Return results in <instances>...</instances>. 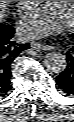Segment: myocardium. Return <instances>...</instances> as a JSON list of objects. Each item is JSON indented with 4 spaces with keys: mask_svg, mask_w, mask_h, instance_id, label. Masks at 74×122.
<instances>
[{
    "mask_svg": "<svg viewBox=\"0 0 74 122\" xmlns=\"http://www.w3.org/2000/svg\"><path fill=\"white\" fill-rule=\"evenodd\" d=\"M72 3H73V5H72V7H73V10H72V15H71V21H74V1H72Z\"/></svg>",
    "mask_w": 74,
    "mask_h": 122,
    "instance_id": "myocardium-1",
    "label": "myocardium"
}]
</instances>
